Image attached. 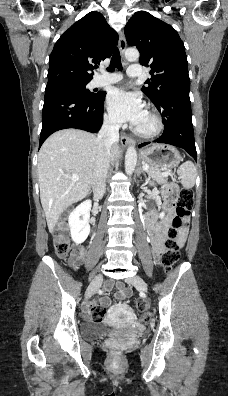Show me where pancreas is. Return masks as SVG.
<instances>
[{"mask_svg":"<svg viewBox=\"0 0 228 396\" xmlns=\"http://www.w3.org/2000/svg\"><path fill=\"white\" fill-rule=\"evenodd\" d=\"M148 173V176L155 180L158 184H163L166 182V177L171 175V173L168 171V175H163L161 170L157 167L154 166H149L148 170L146 171Z\"/></svg>","mask_w":228,"mask_h":396,"instance_id":"pancreas-1","label":"pancreas"}]
</instances>
